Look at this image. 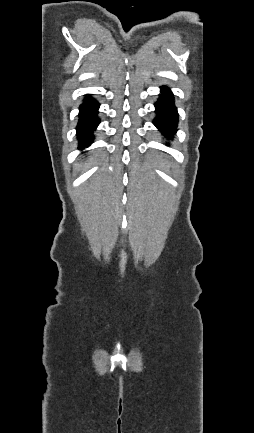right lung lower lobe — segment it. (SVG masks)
I'll return each instance as SVG.
<instances>
[{"mask_svg": "<svg viewBox=\"0 0 254 433\" xmlns=\"http://www.w3.org/2000/svg\"><path fill=\"white\" fill-rule=\"evenodd\" d=\"M99 104L92 98H86L79 108V123L77 126V136L79 138V148L87 147L92 143L93 130L99 124L97 117Z\"/></svg>", "mask_w": 254, "mask_h": 433, "instance_id": "1", "label": "right lung lower lobe"}]
</instances>
